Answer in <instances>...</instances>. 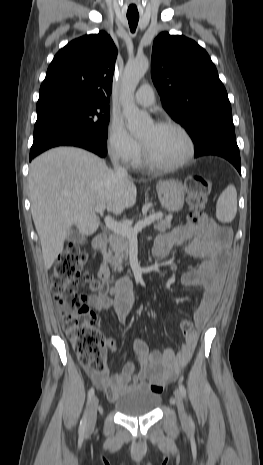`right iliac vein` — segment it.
<instances>
[{"instance_id":"63e3f726","label":"right iliac vein","mask_w":263,"mask_h":465,"mask_svg":"<svg viewBox=\"0 0 263 465\" xmlns=\"http://www.w3.org/2000/svg\"><path fill=\"white\" fill-rule=\"evenodd\" d=\"M98 397L93 396L90 404L89 415H88V422H87V430H91L94 428L97 418V410H98Z\"/></svg>"}]
</instances>
